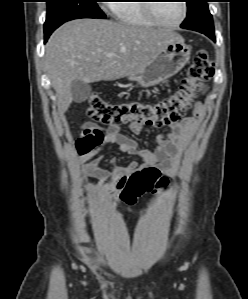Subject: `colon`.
<instances>
[{"label": "colon", "mask_w": 248, "mask_h": 299, "mask_svg": "<svg viewBox=\"0 0 248 299\" xmlns=\"http://www.w3.org/2000/svg\"><path fill=\"white\" fill-rule=\"evenodd\" d=\"M215 73V66L208 54L198 52L187 68L179 88L171 95L156 101H108L100 95L88 98L87 112L96 121L103 124H124L143 122L150 126H162L179 121L191 108L204 83ZM120 198L132 205L145 193L162 194L166 191L168 180L160 176L153 166L134 171L120 181Z\"/></svg>", "instance_id": "5ec220e1"}]
</instances>
